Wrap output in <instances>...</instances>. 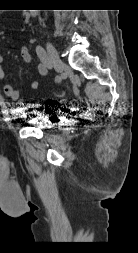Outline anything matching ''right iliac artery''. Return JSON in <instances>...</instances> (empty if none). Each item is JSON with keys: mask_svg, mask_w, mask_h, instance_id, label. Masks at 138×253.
Listing matches in <instances>:
<instances>
[{"mask_svg": "<svg viewBox=\"0 0 138 253\" xmlns=\"http://www.w3.org/2000/svg\"><path fill=\"white\" fill-rule=\"evenodd\" d=\"M36 53H37L40 61L42 62V64H44L47 68L51 69L52 64H51L50 58H49L48 54L46 53V51L44 50V48L42 46L38 45L36 47ZM59 81H60V77L56 76L55 82H59Z\"/></svg>", "mask_w": 138, "mask_h": 253, "instance_id": "1", "label": "right iliac artery"}]
</instances>
